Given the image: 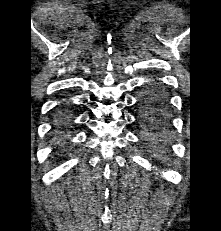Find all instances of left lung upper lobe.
<instances>
[{
    "mask_svg": "<svg viewBox=\"0 0 221 231\" xmlns=\"http://www.w3.org/2000/svg\"><path fill=\"white\" fill-rule=\"evenodd\" d=\"M154 99L156 102H152ZM141 121L149 128H162L166 125V99L159 89L145 93L141 98Z\"/></svg>",
    "mask_w": 221,
    "mask_h": 231,
    "instance_id": "1",
    "label": "left lung upper lobe"
}]
</instances>
